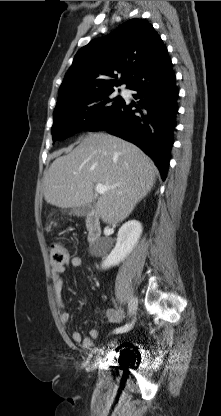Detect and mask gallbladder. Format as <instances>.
<instances>
[{
    "instance_id": "bac80fb5",
    "label": "gallbladder",
    "mask_w": 221,
    "mask_h": 416,
    "mask_svg": "<svg viewBox=\"0 0 221 416\" xmlns=\"http://www.w3.org/2000/svg\"><path fill=\"white\" fill-rule=\"evenodd\" d=\"M94 206L95 201L93 200L92 202L85 204L79 208H73L72 210H70L69 214L84 216L87 215L93 209Z\"/></svg>"
}]
</instances>
